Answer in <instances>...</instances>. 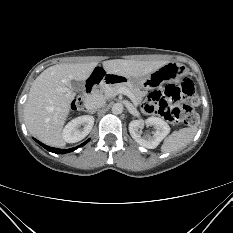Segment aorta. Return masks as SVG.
<instances>
[{
  "label": "aorta",
  "mask_w": 233,
  "mask_h": 233,
  "mask_svg": "<svg viewBox=\"0 0 233 233\" xmlns=\"http://www.w3.org/2000/svg\"><path fill=\"white\" fill-rule=\"evenodd\" d=\"M111 110L115 115L121 114L123 112V105L121 103H115Z\"/></svg>",
  "instance_id": "1"
}]
</instances>
